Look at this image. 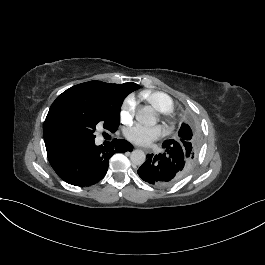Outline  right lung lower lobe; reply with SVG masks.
Masks as SVG:
<instances>
[{"label": "right lung lower lobe", "mask_w": 265, "mask_h": 265, "mask_svg": "<svg viewBox=\"0 0 265 265\" xmlns=\"http://www.w3.org/2000/svg\"><path fill=\"white\" fill-rule=\"evenodd\" d=\"M132 150L133 145L122 139H114L108 148L89 140L62 145L47 154L62 180L75 186H90L105 176L113 154Z\"/></svg>", "instance_id": "98d812e1"}]
</instances>
